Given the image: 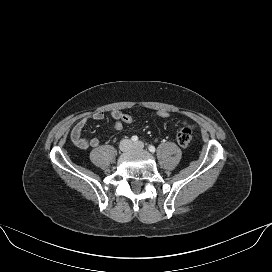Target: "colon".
<instances>
[{
	"label": "colon",
	"instance_id": "1",
	"mask_svg": "<svg viewBox=\"0 0 272 272\" xmlns=\"http://www.w3.org/2000/svg\"><path fill=\"white\" fill-rule=\"evenodd\" d=\"M156 115L160 119H167L170 116L167 111H158ZM120 119L124 124H130L133 121L132 116L125 113L121 114ZM176 139L181 147H188L192 140V129L190 127H183L178 131Z\"/></svg>",
	"mask_w": 272,
	"mask_h": 272
}]
</instances>
